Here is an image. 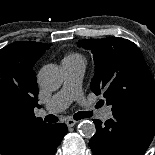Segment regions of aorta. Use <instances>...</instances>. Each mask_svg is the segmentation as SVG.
Wrapping results in <instances>:
<instances>
[{"label":"aorta","mask_w":155,"mask_h":155,"mask_svg":"<svg viewBox=\"0 0 155 155\" xmlns=\"http://www.w3.org/2000/svg\"><path fill=\"white\" fill-rule=\"evenodd\" d=\"M63 71L55 64H47L41 68L38 74L40 85L47 90L58 89L63 82ZM78 131L84 138H92L96 132L95 125L92 121L84 120L78 125Z\"/></svg>","instance_id":"obj_1"}]
</instances>
